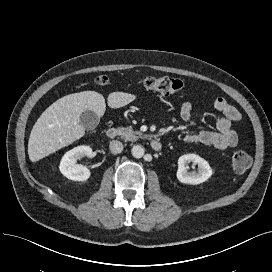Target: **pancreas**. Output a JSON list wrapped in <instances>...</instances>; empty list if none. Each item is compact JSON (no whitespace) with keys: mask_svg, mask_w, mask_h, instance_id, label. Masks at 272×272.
<instances>
[{"mask_svg":"<svg viewBox=\"0 0 272 272\" xmlns=\"http://www.w3.org/2000/svg\"><path fill=\"white\" fill-rule=\"evenodd\" d=\"M119 135L125 140V141H137L139 138L142 137L141 132L133 130L131 127L129 128H119Z\"/></svg>","mask_w":272,"mask_h":272,"instance_id":"cf45deb5","label":"pancreas"}]
</instances>
